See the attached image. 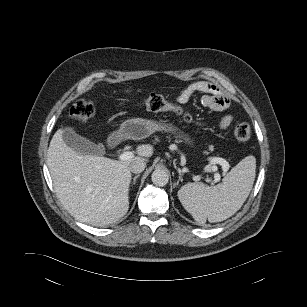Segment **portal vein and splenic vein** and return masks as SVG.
Listing matches in <instances>:
<instances>
[{"instance_id": "1", "label": "portal vein and splenic vein", "mask_w": 307, "mask_h": 307, "mask_svg": "<svg viewBox=\"0 0 307 307\" xmlns=\"http://www.w3.org/2000/svg\"><path fill=\"white\" fill-rule=\"evenodd\" d=\"M118 158L121 161L131 160L132 158H134V154L130 151H125V152L121 153ZM215 164H220L224 171L228 170L229 164L223 158H214L213 161L204 168V172H213L214 173L213 182L217 183V182L220 181L221 176L218 172V167Z\"/></svg>"}]
</instances>
